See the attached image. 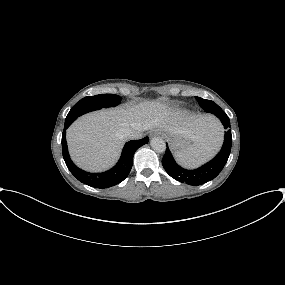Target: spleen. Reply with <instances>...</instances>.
Instances as JSON below:
<instances>
[{
  "label": "spleen",
  "instance_id": "1",
  "mask_svg": "<svg viewBox=\"0 0 285 285\" xmlns=\"http://www.w3.org/2000/svg\"><path fill=\"white\" fill-rule=\"evenodd\" d=\"M222 138L220 127V130L209 141L189 145L185 149L176 151L174 156L176 160L186 168L198 167L211 159L219 151Z\"/></svg>",
  "mask_w": 285,
  "mask_h": 285
}]
</instances>
